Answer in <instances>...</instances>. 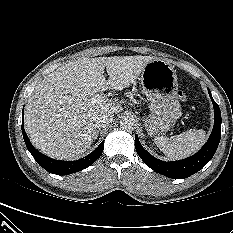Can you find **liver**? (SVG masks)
<instances>
[{
    "instance_id": "obj_1",
    "label": "liver",
    "mask_w": 233,
    "mask_h": 233,
    "mask_svg": "<svg viewBox=\"0 0 233 233\" xmlns=\"http://www.w3.org/2000/svg\"><path fill=\"white\" fill-rule=\"evenodd\" d=\"M153 59L141 55L82 58L56 69L27 100L25 130L31 142L52 158L81 156L95 137L93 117L122 110L116 102L92 104L91 98L99 91L129 87Z\"/></svg>"
}]
</instances>
